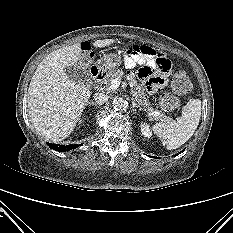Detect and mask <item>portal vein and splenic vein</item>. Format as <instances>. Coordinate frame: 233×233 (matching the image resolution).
<instances>
[{
	"instance_id": "18ae733b",
	"label": "portal vein and splenic vein",
	"mask_w": 233,
	"mask_h": 233,
	"mask_svg": "<svg viewBox=\"0 0 233 233\" xmlns=\"http://www.w3.org/2000/svg\"><path fill=\"white\" fill-rule=\"evenodd\" d=\"M120 83H121V78H120V77L113 79V80L110 82V85H109V87H108V90H114V89L118 88L119 85H120ZM159 114H160L159 111H154V112H151V113H150L151 116H157V115H159Z\"/></svg>"
}]
</instances>
